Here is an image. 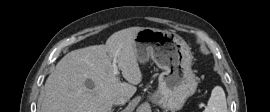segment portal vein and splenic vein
I'll return each mask as SVG.
<instances>
[{
    "instance_id": "18ae733b",
    "label": "portal vein and splenic vein",
    "mask_w": 270,
    "mask_h": 112,
    "mask_svg": "<svg viewBox=\"0 0 270 112\" xmlns=\"http://www.w3.org/2000/svg\"><path fill=\"white\" fill-rule=\"evenodd\" d=\"M113 73L115 74V75H118L119 74V69H118V66L116 65V63L115 62H113Z\"/></svg>"
}]
</instances>
